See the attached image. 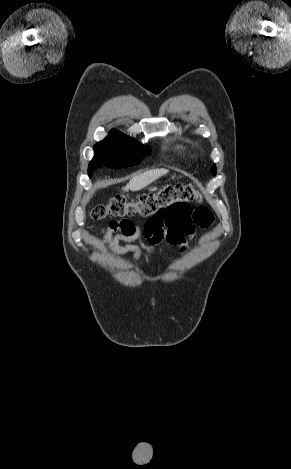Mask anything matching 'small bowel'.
Segmentation results:
<instances>
[{"label":"small bowel","instance_id":"obj_1","mask_svg":"<svg viewBox=\"0 0 291 469\" xmlns=\"http://www.w3.org/2000/svg\"><path fill=\"white\" fill-rule=\"evenodd\" d=\"M212 223L213 215L210 211L208 215L199 217L189 207L167 210L147 220L142 226H136L129 220L113 221L103 235L102 242L117 260L124 253H131L133 262H137L142 250L154 254V246L163 241L179 246L185 252L188 241L195 234L196 225L208 228ZM136 241L139 244H135Z\"/></svg>","mask_w":291,"mask_h":469}]
</instances>
